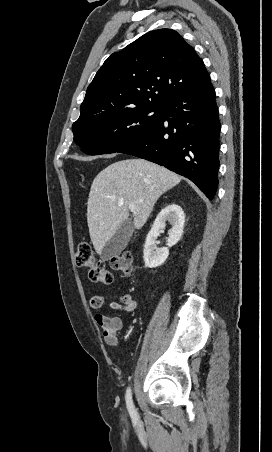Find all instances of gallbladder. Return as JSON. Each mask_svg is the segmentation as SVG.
<instances>
[{"label":"gallbladder","instance_id":"1","mask_svg":"<svg viewBox=\"0 0 272 452\" xmlns=\"http://www.w3.org/2000/svg\"><path fill=\"white\" fill-rule=\"evenodd\" d=\"M132 233L133 224L130 219H127L104 246L101 253L102 259L107 261L114 256H118L127 246Z\"/></svg>","mask_w":272,"mask_h":452}]
</instances>
